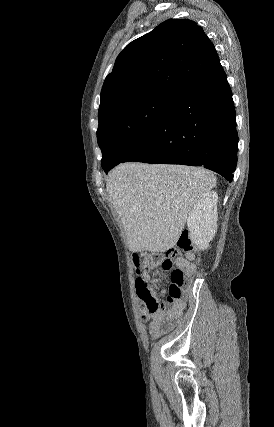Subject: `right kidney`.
<instances>
[{
	"label": "right kidney",
	"instance_id": "1",
	"mask_svg": "<svg viewBox=\"0 0 274 427\" xmlns=\"http://www.w3.org/2000/svg\"><path fill=\"white\" fill-rule=\"evenodd\" d=\"M217 202L218 194L214 190L202 194L187 217L189 239L199 249H208L209 241H212L217 231Z\"/></svg>",
	"mask_w": 274,
	"mask_h": 427
}]
</instances>
